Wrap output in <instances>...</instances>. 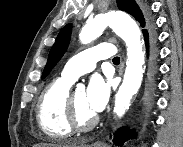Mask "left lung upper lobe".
I'll return each instance as SVG.
<instances>
[{
	"label": "left lung upper lobe",
	"mask_w": 183,
	"mask_h": 147,
	"mask_svg": "<svg viewBox=\"0 0 183 147\" xmlns=\"http://www.w3.org/2000/svg\"><path fill=\"white\" fill-rule=\"evenodd\" d=\"M117 5L120 10L131 14L137 21H139L142 27L147 28L143 29V34L148 32L151 27V20L144 18L135 0H117ZM71 30L72 27L70 24H68L59 32L56 41L50 50L48 61L42 74V79L49 74L56 63L64 55L69 45Z\"/></svg>",
	"instance_id": "obj_1"
}]
</instances>
